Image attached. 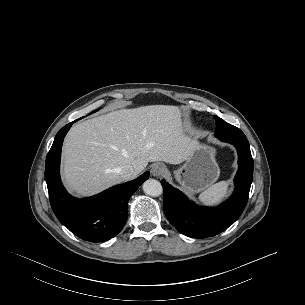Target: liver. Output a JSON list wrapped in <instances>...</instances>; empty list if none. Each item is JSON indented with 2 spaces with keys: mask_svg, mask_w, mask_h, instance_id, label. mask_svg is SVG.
Listing matches in <instances>:
<instances>
[{
  "mask_svg": "<svg viewBox=\"0 0 305 305\" xmlns=\"http://www.w3.org/2000/svg\"><path fill=\"white\" fill-rule=\"evenodd\" d=\"M196 143L185 135L176 106L113 111L71 128L63 145V179L78 195L95 194L123 181L119 168L132 165L135 178L149 162L180 164Z\"/></svg>",
  "mask_w": 305,
  "mask_h": 305,
  "instance_id": "1",
  "label": "liver"
}]
</instances>
